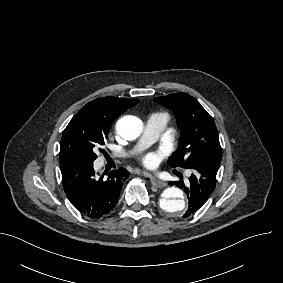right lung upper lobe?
Instances as JSON below:
<instances>
[{"label": "right lung upper lobe", "mask_w": 283, "mask_h": 283, "mask_svg": "<svg viewBox=\"0 0 283 283\" xmlns=\"http://www.w3.org/2000/svg\"><path fill=\"white\" fill-rule=\"evenodd\" d=\"M139 102L138 99L104 97L87 103L76 116H87L101 120L106 125L112 122L127 109Z\"/></svg>", "instance_id": "cb5924a9"}]
</instances>
